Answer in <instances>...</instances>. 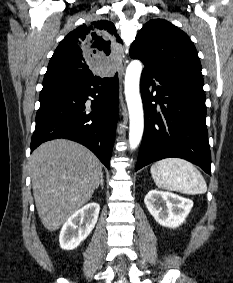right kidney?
<instances>
[{"mask_svg": "<svg viewBox=\"0 0 233 283\" xmlns=\"http://www.w3.org/2000/svg\"><path fill=\"white\" fill-rule=\"evenodd\" d=\"M99 211V204L92 202L72 214L61 229L60 247L64 250L77 248L95 227Z\"/></svg>", "mask_w": 233, "mask_h": 283, "instance_id": "1", "label": "right kidney"}]
</instances>
